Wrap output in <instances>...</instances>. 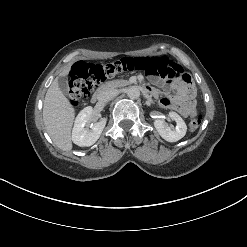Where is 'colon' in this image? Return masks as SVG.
<instances>
[{
	"label": "colon",
	"mask_w": 247,
	"mask_h": 247,
	"mask_svg": "<svg viewBox=\"0 0 247 247\" xmlns=\"http://www.w3.org/2000/svg\"><path fill=\"white\" fill-rule=\"evenodd\" d=\"M164 62L174 70L173 61L166 57H127L118 61L106 64H93L84 61L76 62L69 74V100L72 105L87 97L100 83L107 78L131 71H142L152 63ZM177 79L190 83V76L187 73H173ZM202 122L200 114H192L189 116V129L196 130Z\"/></svg>",
	"instance_id": "5ec220e1"
}]
</instances>
